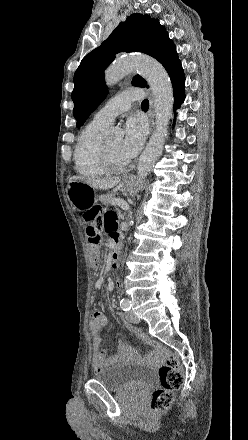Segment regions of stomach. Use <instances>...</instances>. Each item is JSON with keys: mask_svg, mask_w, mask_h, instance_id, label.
<instances>
[{"mask_svg": "<svg viewBox=\"0 0 248 440\" xmlns=\"http://www.w3.org/2000/svg\"><path fill=\"white\" fill-rule=\"evenodd\" d=\"M137 186V182L131 177H125L120 182V187L124 191L129 193L134 192ZM92 188L93 187H91L90 185L81 181H69L67 186V193L75 209H83L87 204L85 199H87V201H94L96 199Z\"/></svg>", "mask_w": 248, "mask_h": 440, "instance_id": "stomach-1", "label": "stomach"}]
</instances>
